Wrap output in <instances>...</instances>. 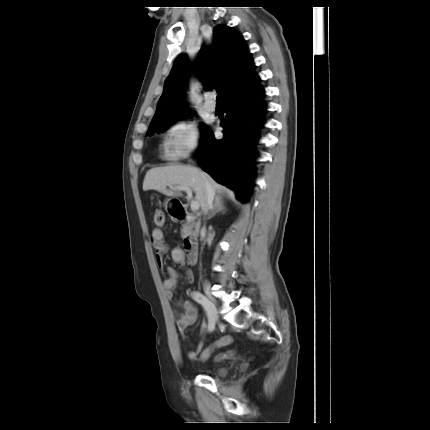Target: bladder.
Returning a JSON list of instances; mask_svg holds the SVG:
<instances>
[{"mask_svg": "<svg viewBox=\"0 0 430 430\" xmlns=\"http://www.w3.org/2000/svg\"><path fill=\"white\" fill-rule=\"evenodd\" d=\"M228 372L227 368H217L213 371H210L209 373L216 376H224Z\"/></svg>", "mask_w": 430, "mask_h": 430, "instance_id": "1", "label": "bladder"}]
</instances>
